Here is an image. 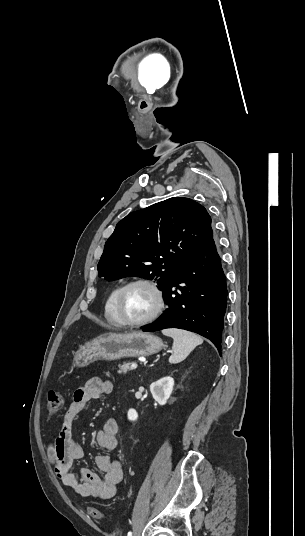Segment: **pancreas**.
Instances as JSON below:
<instances>
[{
    "instance_id": "obj_1",
    "label": "pancreas",
    "mask_w": 305,
    "mask_h": 536,
    "mask_svg": "<svg viewBox=\"0 0 305 536\" xmlns=\"http://www.w3.org/2000/svg\"><path fill=\"white\" fill-rule=\"evenodd\" d=\"M129 370H130V364H126V362H124V364H119L118 374H127Z\"/></svg>"
}]
</instances>
